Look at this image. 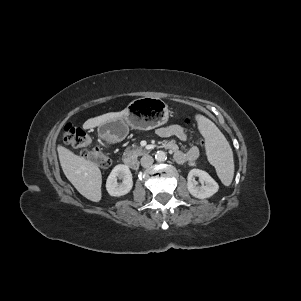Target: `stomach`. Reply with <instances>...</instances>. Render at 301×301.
Wrapping results in <instances>:
<instances>
[{"label":"stomach","instance_id":"1","mask_svg":"<svg viewBox=\"0 0 301 301\" xmlns=\"http://www.w3.org/2000/svg\"><path fill=\"white\" fill-rule=\"evenodd\" d=\"M123 118L108 121L99 126V135L105 140L121 141L134 129L150 130L165 124L169 118L167 106L159 98L143 97L133 100Z\"/></svg>","mask_w":301,"mask_h":301}]
</instances>
